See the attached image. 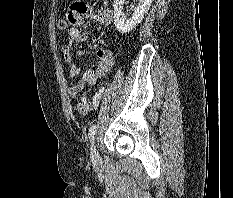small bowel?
<instances>
[{"instance_id": "small-bowel-1", "label": "small bowel", "mask_w": 233, "mask_h": 198, "mask_svg": "<svg viewBox=\"0 0 233 198\" xmlns=\"http://www.w3.org/2000/svg\"><path fill=\"white\" fill-rule=\"evenodd\" d=\"M112 18L113 13L110 9L94 13L85 2L76 1L71 4L67 14V20L70 24L67 29L68 41L63 47V57L69 67L71 77L80 73V67L75 58L83 55V52L78 49V45L85 41L89 34L87 31H82L80 26L86 19H92L98 25L107 27L111 24ZM95 61L94 68L87 69L77 84L68 87L67 94L70 98H76L86 85H94L109 71L113 64V54L108 49H99L95 52Z\"/></svg>"}]
</instances>
